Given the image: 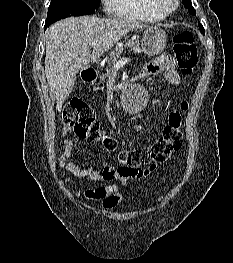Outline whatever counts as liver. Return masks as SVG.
I'll return each instance as SVG.
<instances>
[{
  "label": "liver",
  "mask_w": 233,
  "mask_h": 263,
  "mask_svg": "<svg viewBox=\"0 0 233 263\" xmlns=\"http://www.w3.org/2000/svg\"><path fill=\"white\" fill-rule=\"evenodd\" d=\"M146 27L131 18L88 16L70 17L51 25L46 31L45 75L51 95L56 99V110L61 111L79 71L96 62L128 32ZM92 42H97L95 47Z\"/></svg>",
  "instance_id": "1"
}]
</instances>
